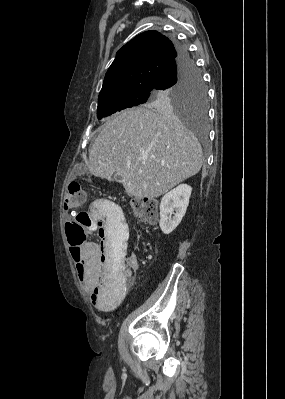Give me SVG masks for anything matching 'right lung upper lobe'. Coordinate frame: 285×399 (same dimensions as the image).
<instances>
[{"instance_id":"obj_1","label":"right lung upper lobe","mask_w":285,"mask_h":399,"mask_svg":"<svg viewBox=\"0 0 285 399\" xmlns=\"http://www.w3.org/2000/svg\"><path fill=\"white\" fill-rule=\"evenodd\" d=\"M176 57L175 46L161 33L146 31L137 35L117 52L99 97L133 89H154Z\"/></svg>"}]
</instances>
